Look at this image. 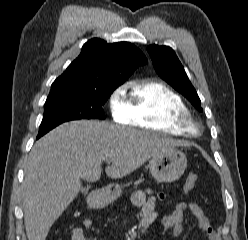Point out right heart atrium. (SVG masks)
I'll return each instance as SVG.
<instances>
[{
	"label": "right heart atrium",
	"instance_id": "right-heart-atrium-1",
	"mask_svg": "<svg viewBox=\"0 0 248 240\" xmlns=\"http://www.w3.org/2000/svg\"><path fill=\"white\" fill-rule=\"evenodd\" d=\"M126 86L120 85L113 89L108 97V108L111 117L119 123L131 124L132 115L125 97Z\"/></svg>",
	"mask_w": 248,
	"mask_h": 240
}]
</instances>
